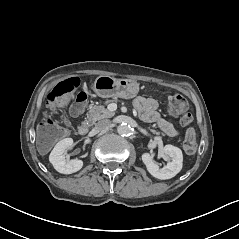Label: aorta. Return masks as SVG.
Here are the masks:
<instances>
[{"mask_svg":"<svg viewBox=\"0 0 239 239\" xmlns=\"http://www.w3.org/2000/svg\"><path fill=\"white\" fill-rule=\"evenodd\" d=\"M117 132L120 135H128L130 133V126L125 123H122L117 127Z\"/></svg>","mask_w":239,"mask_h":239,"instance_id":"762f6f07","label":"aorta"}]
</instances>
